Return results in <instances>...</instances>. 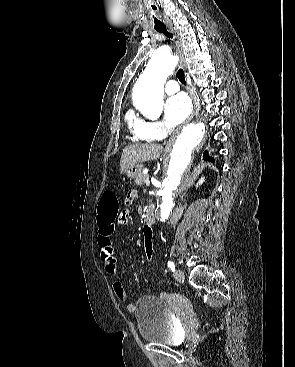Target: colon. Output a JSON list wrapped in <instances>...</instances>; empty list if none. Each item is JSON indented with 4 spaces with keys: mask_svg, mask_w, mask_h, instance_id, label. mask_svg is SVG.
<instances>
[{
    "mask_svg": "<svg viewBox=\"0 0 295 367\" xmlns=\"http://www.w3.org/2000/svg\"><path fill=\"white\" fill-rule=\"evenodd\" d=\"M127 203H130V199H126ZM120 212L119 209V202L116 197V195L111 192L107 191L104 192L101 196L100 202H99V217L98 219L101 221H110V220H117L118 213ZM128 217V215H127ZM141 243L142 246L145 247V252L148 258H151L154 251L153 246V229L151 224H142L141 225Z\"/></svg>",
    "mask_w": 295,
    "mask_h": 367,
    "instance_id": "obj_1",
    "label": "colon"
}]
</instances>
